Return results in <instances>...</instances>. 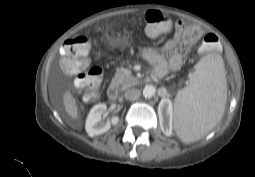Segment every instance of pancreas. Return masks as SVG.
Listing matches in <instances>:
<instances>
[{
    "instance_id": "pancreas-1",
    "label": "pancreas",
    "mask_w": 255,
    "mask_h": 177,
    "mask_svg": "<svg viewBox=\"0 0 255 177\" xmlns=\"http://www.w3.org/2000/svg\"><path fill=\"white\" fill-rule=\"evenodd\" d=\"M139 80L133 77L130 72L119 71L112 78L111 85L121 91L135 86Z\"/></svg>"
}]
</instances>
